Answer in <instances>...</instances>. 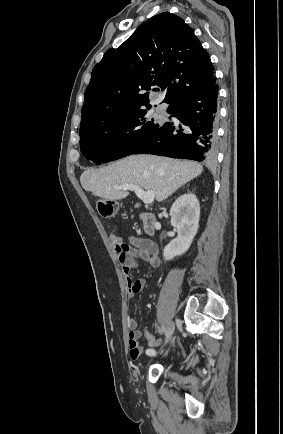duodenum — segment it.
Masks as SVG:
<instances>
[{"label":"duodenum","instance_id":"duodenum-1","mask_svg":"<svg viewBox=\"0 0 283 434\" xmlns=\"http://www.w3.org/2000/svg\"><path fill=\"white\" fill-rule=\"evenodd\" d=\"M140 217L145 233L149 236L154 235L157 227L155 216L152 213L143 212Z\"/></svg>","mask_w":283,"mask_h":434}]
</instances>
